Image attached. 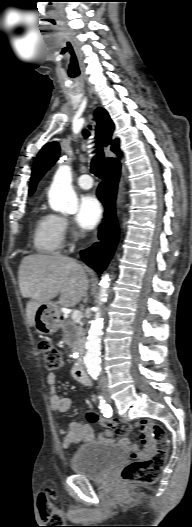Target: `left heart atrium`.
<instances>
[{"label": "left heart atrium", "mask_w": 192, "mask_h": 527, "mask_svg": "<svg viewBox=\"0 0 192 527\" xmlns=\"http://www.w3.org/2000/svg\"><path fill=\"white\" fill-rule=\"evenodd\" d=\"M102 216V207L93 195H85L80 199L76 214V223L85 230L93 229Z\"/></svg>", "instance_id": "1"}]
</instances>
